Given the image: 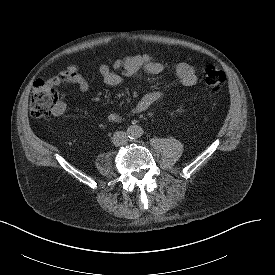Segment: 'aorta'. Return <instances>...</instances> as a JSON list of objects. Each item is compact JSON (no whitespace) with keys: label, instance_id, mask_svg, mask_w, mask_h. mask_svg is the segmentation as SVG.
Masks as SVG:
<instances>
[{"label":"aorta","instance_id":"1","mask_svg":"<svg viewBox=\"0 0 275 275\" xmlns=\"http://www.w3.org/2000/svg\"><path fill=\"white\" fill-rule=\"evenodd\" d=\"M143 134V129L140 126L134 125L127 129V136L130 139H137Z\"/></svg>","mask_w":275,"mask_h":275}]
</instances>
